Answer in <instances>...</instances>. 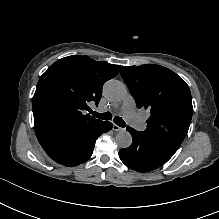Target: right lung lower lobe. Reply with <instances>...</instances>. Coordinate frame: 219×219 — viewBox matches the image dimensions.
<instances>
[{"instance_id": "right-lung-lower-lobe-1", "label": "right lung lower lobe", "mask_w": 219, "mask_h": 219, "mask_svg": "<svg viewBox=\"0 0 219 219\" xmlns=\"http://www.w3.org/2000/svg\"><path fill=\"white\" fill-rule=\"evenodd\" d=\"M111 129V122L101 121L89 127L39 130L36 135L50 158L59 164L72 167L86 162L93 153L96 139Z\"/></svg>"}]
</instances>
